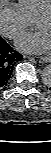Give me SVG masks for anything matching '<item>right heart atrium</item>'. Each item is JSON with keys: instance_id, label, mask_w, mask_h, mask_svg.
<instances>
[{"instance_id": "obj_1", "label": "right heart atrium", "mask_w": 51, "mask_h": 153, "mask_svg": "<svg viewBox=\"0 0 51 153\" xmlns=\"http://www.w3.org/2000/svg\"><path fill=\"white\" fill-rule=\"evenodd\" d=\"M32 22L26 18L17 4L8 0L0 2V32L9 39H17L30 27Z\"/></svg>"}]
</instances>
